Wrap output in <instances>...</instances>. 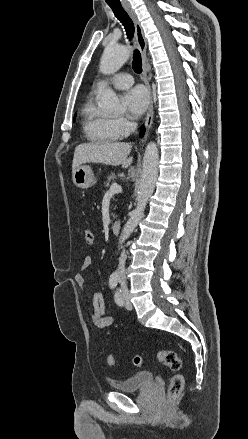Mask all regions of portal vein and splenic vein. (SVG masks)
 <instances>
[{
  "label": "portal vein and splenic vein",
  "instance_id": "18ae733b",
  "mask_svg": "<svg viewBox=\"0 0 248 439\" xmlns=\"http://www.w3.org/2000/svg\"><path fill=\"white\" fill-rule=\"evenodd\" d=\"M120 192H122V187L117 183H113L107 191L108 194H118Z\"/></svg>",
  "mask_w": 248,
  "mask_h": 439
}]
</instances>
